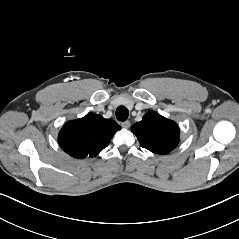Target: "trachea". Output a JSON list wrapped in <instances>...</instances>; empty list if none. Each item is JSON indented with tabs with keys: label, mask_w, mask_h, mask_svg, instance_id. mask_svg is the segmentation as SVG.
<instances>
[{
	"label": "trachea",
	"mask_w": 239,
	"mask_h": 239,
	"mask_svg": "<svg viewBox=\"0 0 239 239\" xmlns=\"http://www.w3.org/2000/svg\"><path fill=\"white\" fill-rule=\"evenodd\" d=\"M129 112L128 109L125 106H119L116 109V118L119 121H126L128 118Z\"/></svg>",
	"instance_id": "obj_1"
}]
</instances>
